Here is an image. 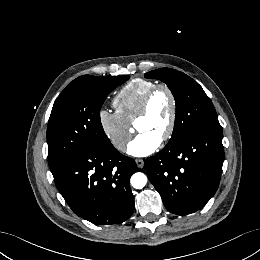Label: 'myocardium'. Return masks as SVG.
Returning <instances> with one entry per match:
<instances>
[{
  "label": "myocardium",
  "instance_id": "f54148a6",
  "mask_svg": "<svg viewBox=\"0 0 260 260\" xmlns=\"http://www.w3.org/2000/svg\"><path fill=\"white\" fill-rule=\"evenodd\" d=\"M161 90L165 91L168 94L170 101H171L170 120L168 123V127L161 138V142H166L174 134L176 122H177V114H178V106H177V99H176L175 93L168 85L156 84L150 90H148V92L145 94V96L143 97V99L141 101V104H140L139 110L136 114L134 122L136 124V122L139 119L144 118L148 114L149 107H150L153 97Z\"/></svg>",
  "mask_w": 260,
  "mask_h": 260
}]
</instances>
